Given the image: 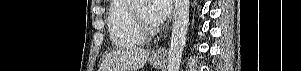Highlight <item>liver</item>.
I'll return each instance as SVG.
<instances>
[{"label": "liver", "mask_w": 301, "mask_h": 71, "mask_svg": "<svg viewBox=\"0 0 301 71\" xmlns=\"http://www.w3.org/2000/svg\"><path fill=\"white\" fill-rule=\"evenodd\" d=\"M149 51L141 48L113 51L105 56L101 69L103 71H137L149 59Z\"/></svg>", "instance_id": "liver-1"}]
</instances>
